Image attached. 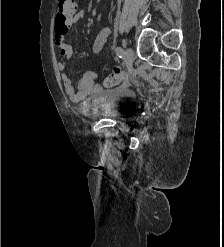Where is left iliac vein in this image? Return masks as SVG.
Segmentation results:
<instances>
[{
	"label": "left iliac vein",
	"mask_w": 224,
	"mask_h": 247,
	"mask_svg": "<svg viewBox=\"0 0 224 247\" xmlns=\"http://www.w3.org/2000/svg\"><path fill=\"white\" fill-rule=\"evenodd\" d=\"M125 60L128 65H132L134 61V51L131 48H126L125 50Z\"/></svg>",
	"instance_id": "4c4485c4"
}]
</instances>
